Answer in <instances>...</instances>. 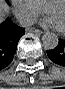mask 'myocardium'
Returning a JSON list of instances; mask_svg holds the SVG:
<instances>
[{
  "label": "myocardium",
  "mask_w": 65,
  "mask_h": 89,
  "mask_svg": "<svg viewBox=\"0 0 65 89\" xmlns=\"http://www.w3.org/2000/svg\"><path fill=\"white\" fill-rule=\"evenodd\" d=\"M49 4H62V5H64V7H65V1H63V0H52V1H50V2H48V3L46 4V7H47ZM46 11H47V10H46Z\"/></svg>",
  "instance_id": "f54148a6"
}]
</instances>
